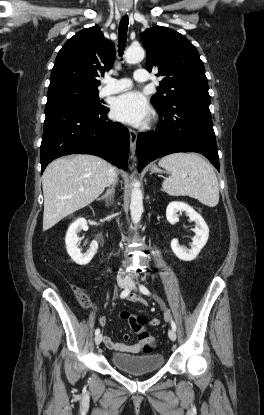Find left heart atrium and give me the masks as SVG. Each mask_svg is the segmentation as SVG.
<instances>
[{
    "instance_id": "39dd6f15",
    "label": "left heart atrium",
    "mask_w": 264,
    "mask_h": 415,
    "mask_svg": "<svg viewBox=\"0 0 264 415\" xmlns=\"http://www.w3.org/2000/svg\"><path fill=\"white\" fill-rule=\"evenodd\" d=\"M112 114L119 121L140 125L149 119L151 110L142 94L131 91L115 98Z\"/></svg>"
}]
</instances>
